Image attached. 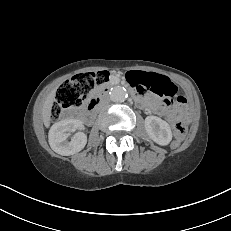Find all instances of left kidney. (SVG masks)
<instances>
[{
	"mask_svg": "<svg viewBox=\"0 0 231 231\" xmlns=\"http://www.w3.org/2000/svg\"><path fill=\"white\" fill-rule=\"evenodd\" d=\"M145 129L149 137L159 145H168L172 140L169 124L157 116L145 118Z\"/></svg>",
	"mask_w": 231,
	"mask_h": 231,
	"instance_id": "left-kidney-1",
	"label": "left kidney"
}]
</instances>
